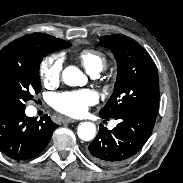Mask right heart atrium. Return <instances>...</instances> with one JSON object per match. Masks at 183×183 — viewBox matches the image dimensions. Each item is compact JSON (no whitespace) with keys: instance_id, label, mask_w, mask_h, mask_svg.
<instances>
[{"instance_id":"1","label":"right heart atrium","mask_w":183,"mask_h":183,"mask_svg":"<svg viewBox=\"0 0 183 183\" xmlns=\"http://www.w3.org/2000/svg\"><path fill=\"white\" fill-rule=\"evenodd\" d=\"M63 67L62 58L59 55H50L40 64V77L46 86L56 85L61 77Z\"/></svg>"}]
</instances>
